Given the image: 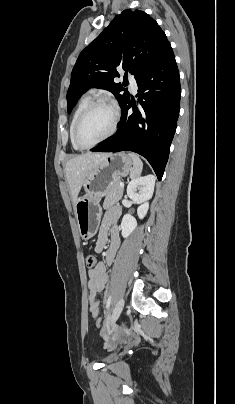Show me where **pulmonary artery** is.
Returning <instances> with one entry per match:
<instances>
[{
    "instance_id": "pulmonary-artery-1",
    "label": "pulmonary artery",
    "mask_w": 235,
    "mask_h": 404,
    "mask_svg": "<svg viewBox=\"0 0 235 404\" xmlns=\"http://www.w3.org/2000/svg\"><path fill=\"white\" fill-rule=\"evenodd\" d=\"M129 82H130L132 91H133V92H136L137 89H138V85H137L136 80H135L132 76H129Z\"/></svg>"
}]
</instances>
